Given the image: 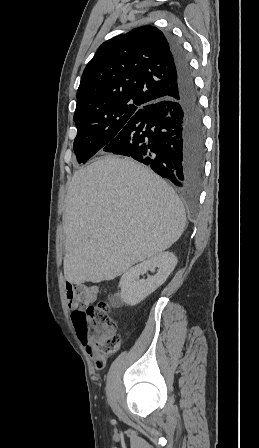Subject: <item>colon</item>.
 Returning <instances> with one entry per match:
<instances>
[{
	"instance_id": "1",
	"label": "colon",
	"mask_w": 259,
	"mask_h": 448,
	"mask_svg": "<svg viewBox=\"0 0 259 448\" xmlns=\"http://www.w3.org/2000/svg\"><path fill=\"white\" fill-rule=\"evenodd\" d=\"M98 295L97 286L77 284L73 288V299L78 310L72 313V321L84 345L92 344L105 354L115 353L121 344L120 337L110 315L109 304L100 302L93 305Z\"/></svg>"
}]
</instances>
